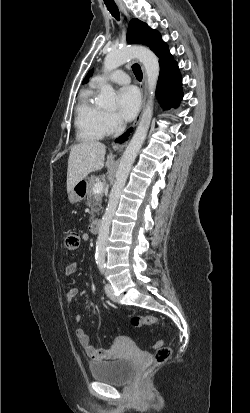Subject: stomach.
<instances>
[{"label":"stomach","mask_w":250,"mask_h":413,"mask_svg":"<svg viewBox=\"0 0 250 413\" xmlns=\"http://www.w3.org/2000/svg\"><path fill=\"white\" fill-rule=\"evenodd\" d=\"M87 183L86 181L82 180L77 183L73 190L68 193V200L72 204H77L81 200H83L86 192Z\"/></svg>","instance_id":"0dacf381"}]
</instances>
